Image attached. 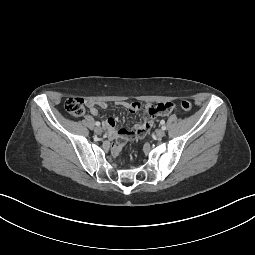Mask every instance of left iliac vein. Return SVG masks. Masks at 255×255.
Listing matches in <instances>:
<instances>
[{
  "label": "left iliac vein",
  "instance_id": "4c4485c4",
  "mask_svg": "<svg viewBox=\"0 0 255 255\" xmlns=\"http://www.w3.org/2000/svg\"><path fill=\"white\" fill-rule=\"evenodd\" d=\"M156 136H157L158 138L164 137V136H165V131L162 130V129H158V130L156 131Z\"/></svg>",
  "mask_w": 255,
  "mask_h": 255
}]
</instances>
